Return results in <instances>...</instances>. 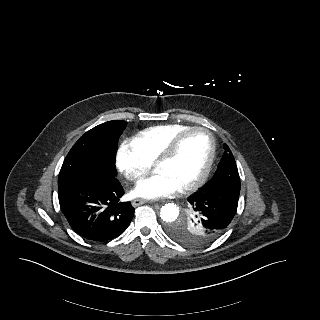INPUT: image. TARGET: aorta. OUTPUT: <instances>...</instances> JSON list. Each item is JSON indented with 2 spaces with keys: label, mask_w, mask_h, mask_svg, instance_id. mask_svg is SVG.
Listing matches in <instances>:
<instances>
[{
  "label": "aorta",
  "mask_w": 320,
  "mask_h": 320,
  "mask_svg": "<svg viewBox=\"0 0 320 320\" xmlns=\"http://www.w3.org/2000/svg\"><path fill=\"white\" fill-rule=\"evenodd\" d=\"M179 215V208L174 203H168L162 206L160 210V217L166 223H171L177 219Z\"/></svg>",
  "instance_id": "1"
}]
</instances>
